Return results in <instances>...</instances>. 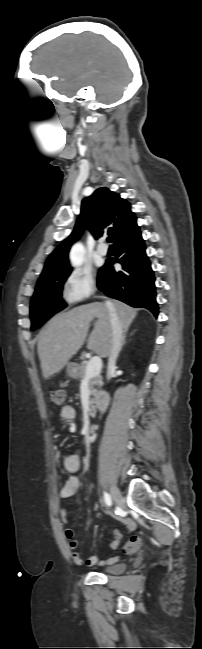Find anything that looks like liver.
I'll list each match as a JSON object with an SVG mask.
<instances>
[{
    "instance_id": "liver-1",
    "label": "liver",
    "mask_w": 202,
    "mask_h": 649,
    "mask_svg": "<svg viewBox=\"0 0 202 649\" xmlns=\"http://www.w3.org/2000/svg\"><path fill=\"white\" fill-rule=\"evenodd\" d=\"M123 328H128L137 309L125 303L110 302ZM97 318L87 348L100 357L109 356L112 340L110 314L106 303H91L55 315L39 334L38 355L42 374L48 379L58 373L84 344L90 322Z\"/></svg>"
}]
</instances>
